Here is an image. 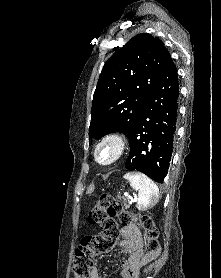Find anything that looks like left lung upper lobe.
<instances>
[{
	"instance_id": "left-lung-upper-lobe-1",
	"label": "left lung upper lobe",
	"mask_w": 221,
	"mask_h": 278,
	"mask_svg": "<svg viewBox=\"0 0 221 278\" xmlns=\"http://www.w3.org/2000/svg\"><path fill=\"white\" fill-rule=\"evenodd\" d=\"M115 51L94 92L89 139L117 131L129 137L171 59L163 42L148 33L134 36Z\"/></svg>"
}]
</instances>
